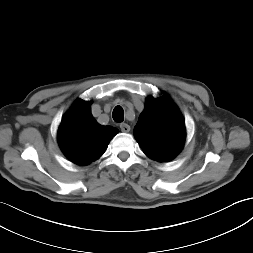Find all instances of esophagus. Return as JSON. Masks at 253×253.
Returning a JSON list of instances; mask_svg holds the SVG:
<instances>
[{
	"mask_svg": "<svg viewBox=\"0 0 253 253\" xmlns=\"http://www.w3.org/2000/svg\"><path fill=\"white\" fill-rule=\"evenodd\" d=\"M120 129L122 132H129L130 131V126L126 123H121L120 124Z\"/></svg>",
	"mask_w": 253,
	"mask_h": 253,
	"instance_id": "esophagus-1",
	"label": "esophagus"
}]
</instances>
